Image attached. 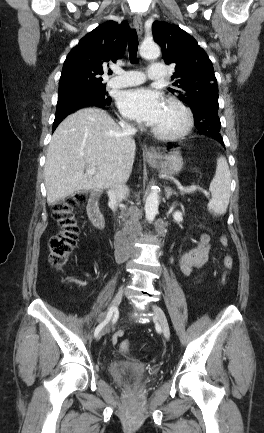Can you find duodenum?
<instances>
[{"label": "duodenum", "mask_w": 264, "mask_h": 433, "mask_svg": "<svg viewBox=\"0 0 264 433\" xmlns=\"http://www.w3.org/2000/svg\"><path fill=\"white\" fill-rule=\"evenodd\" d=\"M87 214L93 223V225L99 229L103 230L106 225L105 217L99 209V195L94 194L90 197L86 206Z\"/></svg>", "instance_id": "obj_1"}]
</instances>
